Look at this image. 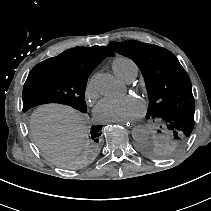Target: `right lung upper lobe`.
<instances>
[{"instance_id": "obj_1", "label": "right lung upper lobe", "mask_w": 211, "mask_h": 211, "mask_svg": "<svg viewBox=\"0 0 211 211\" xmlns=\"http://www.w3.org/2000/svg\"><path fill=\"white\" fill-rule=\"evenodd\" d=\"M107 56H114V53L104 46H93L90 48L78 47L68 49L46 61L71 64L93 70Z\"/></svg>"}]
</instances>
